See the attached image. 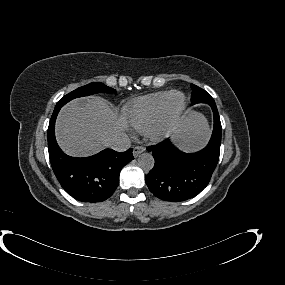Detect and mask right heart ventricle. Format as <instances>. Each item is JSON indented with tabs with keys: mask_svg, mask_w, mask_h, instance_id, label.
<instances>
[{
	"mask_svg": "<svg viewBox=\"0 0 285 285\" xmlns=\"http://www.w3.org/2000/svg\"><path fill=\"white\" fill-rule=\"evenodd\" d=\"M172 91H162L128 100L123 115L139 131H145L162 114Z\"/></svg>",
	"mask_w": 285,
	"mask_h": 285,
	"instance_id": "1",
	"label": "right heart ventricle"
}]
</instances>
